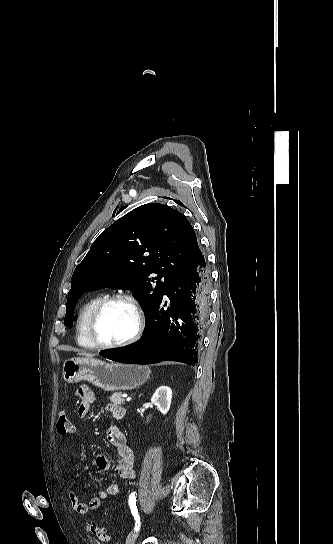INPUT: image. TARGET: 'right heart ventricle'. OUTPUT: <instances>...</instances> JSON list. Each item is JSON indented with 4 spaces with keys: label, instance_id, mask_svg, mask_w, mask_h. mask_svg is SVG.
<instances>
[{
    "label": "right heart ventricle",
    "instance_id": "obj_1",
    "mask_svg": "<svg viewBox=\"0 0 333 544\" xmlns=\"http://www.w3.org/2000/svg\"><path fill=\"white\" fill-rule=\"evenodd\" d=\"M102 298L103 296L101 294L94 295L87 299L79 309L76 319L75 332L76 342L80 347L86 349L96 348L87 335V323L91 312Z\"/></svg>",
    "mask_w": 333,
    "mask_h": 544
}]
</instances>
